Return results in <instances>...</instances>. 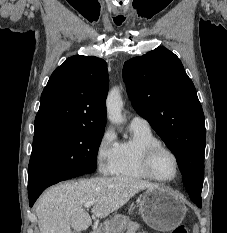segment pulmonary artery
<instances>
[{
	"mask_svg": "<svg viewBox=\"0 0 227 233\" xmlns=\"http://www.w3.org/2000/svg\"><path fill=\"white\" fill-rule=\"evenodd\" d=\"M130 127L150 129L148 121L140 116H134L130 121Z\"/></svg>",
	"mask_w": 227,
	"mask_h": 233,
	"instance_id": "pulmonary-artery-1",
	"label": "pulmonary artery"
}]
</instances>
